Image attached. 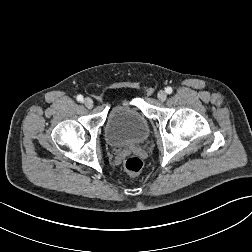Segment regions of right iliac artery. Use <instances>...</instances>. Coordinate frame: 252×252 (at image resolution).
I'll return each instance as SVG.
<instances>
[{
    "label": "right iliac artery",
    "mask_w": 252,
    "mask_h": 252,
    "mask_svg": "<svg viewBox=\"0 0 252 252\" xmlns=\"http://www.w3.org/2000/svg\"><path fill=\"white\" fill-rule=\"evenodd\" d=\"M76 99H77V101L81 102V101H83V96L82 95H78Z\"/></svg>",
    "instance_id": "82829eb1"
}]
</instances>
